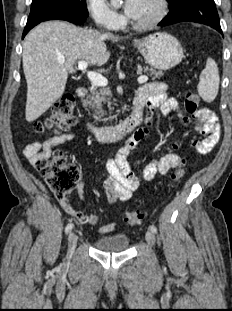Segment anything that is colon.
I'll return each mask as SVG.
<instances>
[{"label": "colon", "instance_id": "obj_1", "mask_svg": "<svg viewBox=\"0 0 232 311\" xmlns=\"http://www.w3.org/2000/svg\"><path fill=\"white\" fill-rule=\"evenodd\" d=\"M199 96L194 92H189L185 97V109L188 113L194 114L199 107ZM75 101L71 95L62 96L52 108L48 118L37 121L33 125V130L38 134L59 133L72 126L75 122ZM35 167L46 179L49 188L58 196L70 194L77 186L79 171L69 164L63 152L57 150L48 157L37 159ZM183 167L176 169L172 175L177 181L184 176ZM143 214L138 211L129 212L125 215L124 221L128 226H135L141 223Z\"/></svg>", "mask_w": 232, "mask_h": 311}]
</instances>
